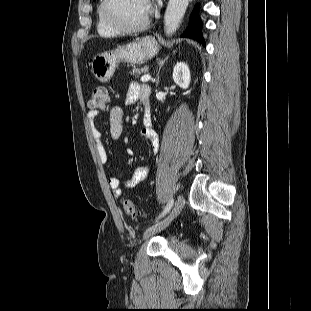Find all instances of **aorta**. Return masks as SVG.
<instances>
[{"mask_svg": "<svg viewBox=\"0 0 311 311\" xmlns=\"http://www.w3.org/2000/svg\"><path fill=\"white\" fill-rule=\"evenodd\" d=\"M188 4L189 0H169L164 15V30L166 34L172 35L176 32Z\"/></svg>", "mask_w": 311, "mask_h": 311, "instance_id": "1", "label": "aorta"}]
</instances>
